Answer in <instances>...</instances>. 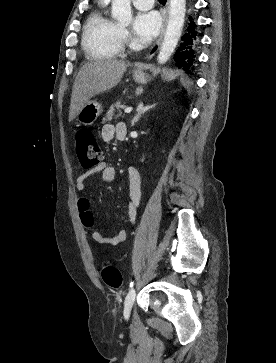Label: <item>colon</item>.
Here are the masks:
<instances>
[{
    "instance_id": "1",
    "label": "colon",
    "mask_w": 276,
    "mask_h": 363,
    "mask_svg": "<svg viewBox=\"0 0 276 363\" xmlns=\"http://www.w3.org/2000/svg\"><path fill=\"white\" fill-rule=\"evenodd\" d=\"M76 154L85 168H93L101 162L103 152L95 134L91 130L81 129L76 133ZM84 211L82 212V222L87 226ZM100 273L102 280L108 287L118 289L122 286V275L114 265L104 262L101 265Z\"/></svg>"
}]
</instances>
